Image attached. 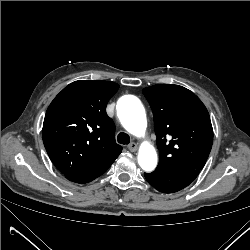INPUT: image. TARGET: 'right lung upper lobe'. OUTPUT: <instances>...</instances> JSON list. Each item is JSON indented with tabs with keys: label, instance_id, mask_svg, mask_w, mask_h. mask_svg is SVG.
<instances>
[{
	"label": "right lung upper lobe",
	"instance_id": "obj_1",
	"mask_svg": "<svg viewBox=\"0 0 250 250\" xmlns=\"http://www.w3.org/2000/svg\"><path fill=\"white\" fill-rule=\"evenodd\" d=\"M118 88L108 81H75L48 107L43 142L52 163L65 177L100 169L121 153L114 122L105 111Z\"/></svg>",
	"mask_w": 250,
	"mask_h": 250
}]
</instances>
